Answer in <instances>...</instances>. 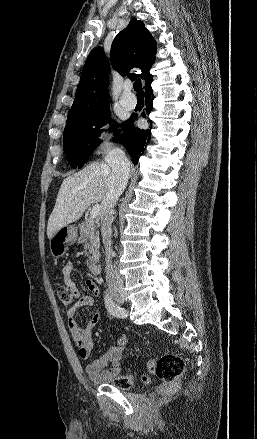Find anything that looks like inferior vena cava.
I'll return each mask as SVG.
<instances>
[{"instance_id":"inferior-vena-cava-1","label":"inferior vena cava","mask_w":257,"mask_h":439,"mask_svg":"<svg viewBox=\"0 0 257 439\" xmlns=\"http://www.w3.org/2000/svg\"><path fill=\"white\" fill-rule=\"evenodd\" d=\"M105 162L112 168L110 177V186L103 200L104 213L101 220V232L103 242L106 249L109 267L106 271V281L109 288H123V280L118 273L113 269L111 262H109L112 254L111 249V224L113 221L112 209L116 204L118 198L123 193L129 177L130 163L120 148H113L108 151Z\"/></svg>"}]
</instances>
